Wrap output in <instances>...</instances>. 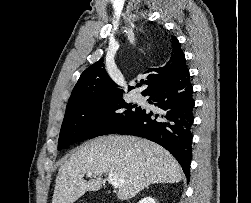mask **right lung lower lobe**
<instances>
[{"label": "right lung lower lobe", "instance_id": "right-lung-lower-lobe-1", "mask_svg": "<svg viewBox=\"0 0 251 203\" xmlns=\"http://www.w3.org/2000/svg\"><path fill=\"white\" fill-rule=\"evenodd\" d=\"M144 96L158 112L141 109L115 133L143 137L167 149L190 178L193 87L187 66L169 79L155 85Z\"/></svg>", "mask_w": 251, "mask_h": 203}]
</instances>
